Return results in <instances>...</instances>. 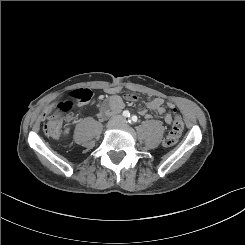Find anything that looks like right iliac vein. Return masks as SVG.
<instances>
[{
    "mask_svg": "<svg viewBox=\"0 0 245 245\" xmlns=\"http://www.w3.org/2000/svg\"><path fill=\"white\" fill-rule=\"evenodd\" d=\"M116 122H117V120H116V119H112V120H110V121H109V123H108V127H111V126L115 125V124H116Z\"/></svg>",
    "mask_w": 245,
    "mask_h": 245,
    "instance_id": "right-iliac-vein-1",
    "label": "right iliac vein"
}]
</instances>
